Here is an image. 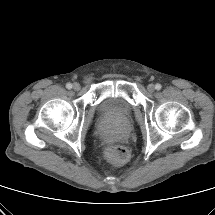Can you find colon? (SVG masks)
<instances>
[{
    "label": "colon",
    "mask_w": 215,
    "mask_h": 215,
    "mask_svg": "<svg viewBox=\"0 0 215 215\" xmlns=\"http://www.w3.org/2000/svg\"><path fill=\"white\" fill-rule=\"evenodd\" d=\"M106 158L113 164L121 165L128 161L129 152L121 145H112L105 150Z\"/></svg>",
    "instance_id": "1"
}]
</instances>
